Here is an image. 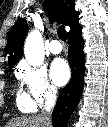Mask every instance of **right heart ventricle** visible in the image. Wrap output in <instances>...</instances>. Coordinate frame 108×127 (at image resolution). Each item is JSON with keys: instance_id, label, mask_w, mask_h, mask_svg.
Instances as JSON below:
<instances>
[{"instance_id": "obj_1", "label": "right heart ventricle", "mask_w": 108, "mask_h": 127, "mask_svg": "<svg viewBox=\"0 0 108 127\" xmlns=\"http://www.w3.org/2000/svg\"><path fill=\"white\" fill-rule=\"evenodd\" d=\"M16 104L19 110L24 113H32L36 110V105L31 98L21 90L17 92Z\"/></svg>"}]
</instances>
